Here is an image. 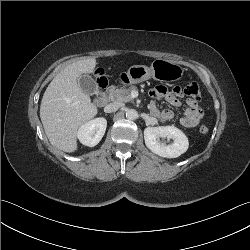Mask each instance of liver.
I'll use <instances>...</instances> for the list:
<instances>
[{"mask_svg": "<svg viewBox=\"0 0 250 250\" xmlns=\"http://www.w3.org/2000/svg\"><path fill=\"white\" fill-rule=\"evenodd\" d=\"M96 59L87 57L66 66L48 85L40 105V118L50 143L64 152L77 150L80 125L94 118L97 107L79 85L82 74L92 73Z\"/></svg>", "mask_w": 250, "mask_h": 250, "instance_id": "1", "label": "liver"}]
</instances>
